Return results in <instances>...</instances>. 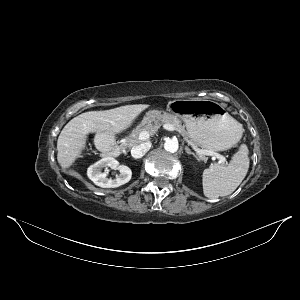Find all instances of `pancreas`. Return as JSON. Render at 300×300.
<instances>
[{
    "instance_id": "pancreas-1",
    "label": "pancreas",
    "mask_w": 300,
    "mask_h": 300,
    "mask_svg": "<svg viewBox=\"0 0 300 300\" xmlns=\"http://www.w3.org/2000/svg\"><path fill=\"white\" fill-rule=\"evenodd\" d=\"M162 124H171L182 136L186 137L187 139L190 137L189 133L186 131L185 127L182 125L181 121L178 118H176L172 114L161 112L157 117L154 118L145 117L142 123L132 131L129 137L126 138L123 145L131 147L139 143V134L142 131H147L150 135H153L156 131V128H158Z\"/></svg>"
}]
</instances>
